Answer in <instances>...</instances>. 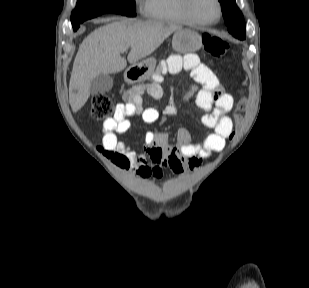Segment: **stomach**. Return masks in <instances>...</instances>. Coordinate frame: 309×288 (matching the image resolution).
Wrapping results in <instances>:
<instances>
[{
    "label": "stomach",
    "mask_w": 309,
    "mask_h": 288,
    "mask_svg": "<svg viewBox=\"0 0 309 288\" xmlns=\"http://www.w3.org/2000/svg\"><path fill=\"white\" fill-rule=\"evenodd\" d=\"M173 49L181 54L198 51L202 47V37L194 30L180 28L172 38ZM156 60L153 57L131 65L124 73V79L130 84L148 80L154 73Z\"/></svg>",
    "instance_id": "stomach-1"
}]
</instances>
